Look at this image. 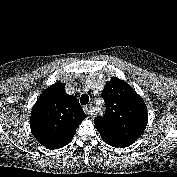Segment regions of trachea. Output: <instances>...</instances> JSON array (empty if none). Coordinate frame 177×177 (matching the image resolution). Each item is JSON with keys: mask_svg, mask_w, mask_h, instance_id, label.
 Wrapping results in <instances>:
<instances>
[{"mask_svg": "<svg viewBox=\"0 0 177 177\" xmlns=\"http://www.w3.org/2000/svg\"><path fill=\"white\" fill-rule=\"evenodd\" d=\"M89 102V96L87 94H82L80 97V103L86 105Z\"/></svg>", "mask_w": 177, "mask_h": 177, "instance_id": "3493384b", "label": "trachea"}]
</instances>
